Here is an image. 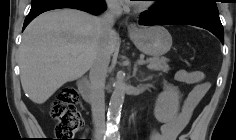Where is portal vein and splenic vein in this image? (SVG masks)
Returning <instances> with one entry per match:
<instances>
[{
    "label": "portal vein and splenic vein",
    "instance_id": "portal-vein-and-splenic-vein-1",
    "mask_svg": "<svg viewBox=\"0 0 236 140\" xmlns=\"http://www.w3.org/2000/svg\"><path fill=\"white\" fill-rule=\"evenodd\" d=\"M137 63H138L139 65H143V64L145 63V61H144L143 59H138V60H137Z\"/></svg>",
    "mask_w": 236,
    "mask_h": 140
}]
</instances>
